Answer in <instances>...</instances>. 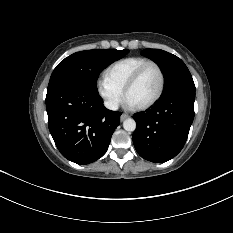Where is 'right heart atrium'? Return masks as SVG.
<instances>
[{"label": "right heart atrium", "instance_id": "d8ad5b80", "mask_svg": "<svg viewBox=\"0 0 233 233\" xmlns=\"http://www.w3.org/2000/svg\"><path fill=\"white\" fill-rule=\"evenodd\" d=\"M96 88L104 105L110 110H116L122 103L124 94L121 89L111 83L106 77L97 80Z\"/></svg>", "mask_w": 233, "mask_h": 233}]
</instances>
